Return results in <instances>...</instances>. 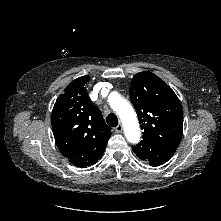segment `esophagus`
I'll return each instance as SVG.
<instances>
[{"label":"esophagus","mask_w":221,"mask_h":221,"mask_svg":"<svg viewBox=\"0 0 221 221\" xmlns=\"http://www.w3.org/2000/svg\"><path fill=\"white\" fill-rule=\"evenodd\" d=\"M115 131L117 133H121L123 131V126L122 124H118L116 127H115Z\"/></svg>","instance_id":"34e87169"}]
</instances>
